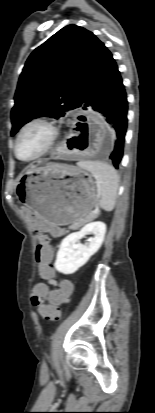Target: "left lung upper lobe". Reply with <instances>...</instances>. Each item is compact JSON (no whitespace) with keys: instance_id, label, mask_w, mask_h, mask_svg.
Wrapping results in <instances>:
<instances>
[{"instance_id":"left-lung-upper-lobe-1","label":"left lung upper lobe","mask_w":155,"mask_h":413,"mask_svg":"<svg viewBox=\"0 0 155 413\" xmlns=\"http://www.w3.org/2000/svg\"><path fill=\"white\" fill-rule=\"evenodd\" d=\"M107 51L92 32L76 25L62 28L36 48L18 81L11 111V136L31 119H58L80 107Z\"/></svg>"}]
</instances>
